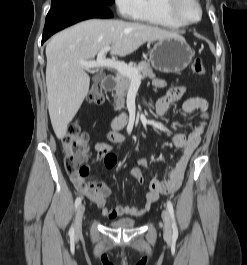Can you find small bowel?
I'll return each mask as SVG.
<instances>
[{
  "label": "small bowel",
  "instance_id": "obj_1",
  "mask_svg": "<svg viewBox=\"0 0 247 265\" xmlns=\"http://www.w3.org/2000/svg\"><path fill=\"white\" fill-rule=\"evenodd\" d=\"M155 86L164 87L163 80H155ZM186 86L181 85L168 90L165 96L157 100L155 104V114L158 118H163L170 105L179 100L186 92ZM195 111H200L202 121L190 134L177 133L171 136V143L181 150V155L176 162L169 161L172 169L166 181L154 178V171L145 158H140L137 165L130 170V175L140 184L145 182L143 171L146 170L151 179L148 183L147 193L140 206H129L117 204L114 207L108 205V200L114 196V192L105 184L101 178H93L86 181L85 177L71 175V181L76 189L86 197L96 207L101 209L103 216L114 219L123 215L141 216L149 211L160 195L172 194L181 186L187 165L196 148L198 147L205 129V119L208 117V102L202 97H191L185 100L181 107V117L183 120ZM125 135L115 131L107 134V141L99 142L94 146L95 156L90 159V164L101 161L104 165L112 169L117 165V157L113 152V144L121 143L125 140Z\"/></svg>",
  "mask_w": 247,
  "mask_h": 265
}]
</instances>
